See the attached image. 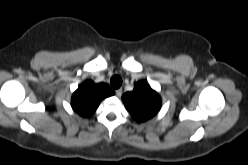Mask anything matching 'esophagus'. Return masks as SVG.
Returning <instances> with one entry per match:
<instances>
[{
	"label": "esophagus",
	"mask_w": 248,
	"mask_h": 165,
	"mask_svg": "<svg viewBox=\"0 0 248 165\" xmlns=\"http://www.w3.org/2000/svg\"><path fill=\"white\" fill-rule=\"evenodd\" d=\"M122 88H119V89H117L116 91H115V93H116V96L117 97H120L121 95H122Z\"/></svg>",
	"instance_id": "esophagus-1"
}]
</instances>
